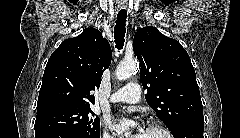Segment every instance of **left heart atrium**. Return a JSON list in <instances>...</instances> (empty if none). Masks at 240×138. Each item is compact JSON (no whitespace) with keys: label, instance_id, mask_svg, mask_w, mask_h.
Returning <instances> with one entry per match:
<instances>
[{"label":"left heart atrium","instance_id":"39dd6f15","mask_svg":"<svg viewBox=\"0 0 240 138\" xmlns=\"http://www.w3.org/2000/svg\"><path fill=\"white\" fill-rule=\"evenodd\" d=\"M114 131L119 135H125L127 133H132L135 138H142L145 130L143 127L138 126L134 130L130 131L127 124L122 120H117L113 124Z\"/></svg>","mask_w":240,"mask_h":138}]
</instances>
